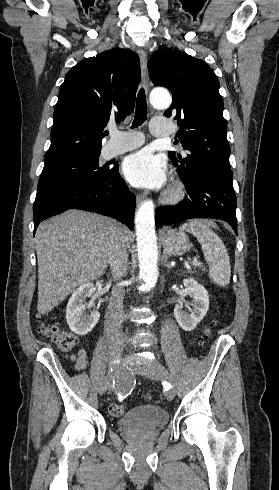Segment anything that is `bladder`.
Wrapping results in <instances>:
<instances>
[{"label":"bladder","instance_id":"bladder-1","mask_svg":"<svg viewBox=\"0 0 279 490\" xmlns=\"http://www.w3.org/2000/svg\"><path fill=\"white\" fill-rule=\"evenodd\" d=\"M167 411L158 405H140L127 411L117 420L122 431L142 432L167 425Z\"/></svg>","mask_w":279,"mask_h":490}]
</instances>
